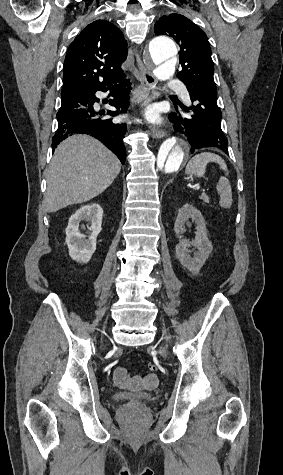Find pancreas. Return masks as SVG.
I'll list each match as a JSON object with an SVG mask.
<instances>
[{
	"label": "pancreas",
	"instance_id": "pancreas-1",
	"mask_svg": "<svg viewBox=\"0 0 283 475\" xmlns=\"http://www.w3.org/2000/svg\"><path fill=\"white\" fill-rule=\"evenodd\" d=\"M200 200H204V202H206V204H209V198H208V196H205V194H202V196H200Z\"/></svg>",
	"mask_w": 283,
	"mask_h": 475
}]
</instances>
